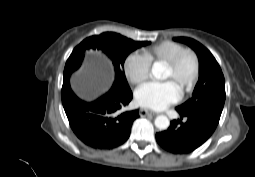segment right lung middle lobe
Instances as JSON below:
<instances>
[{"label":"right lung middle lobe","instance_id":"1","mask_svg":"<svg viewBox=\"0 0 255 177\" xmlns=\"http://www.w3.org/2000/svg\"><path fill=\"white\" fill-rule=\"evenodd\" d=\"M148 44H150L148 41H133L113 32H106L89 37L73 50L66 62L64 76H70L73 71L80 67L86 49H100L110 58L114 65L115 81L113 86H117L123 91L130 90L123 73L125 59L132 51Z\"/></svg>","mask_w":255,"mask_h":177}]
</instances>
